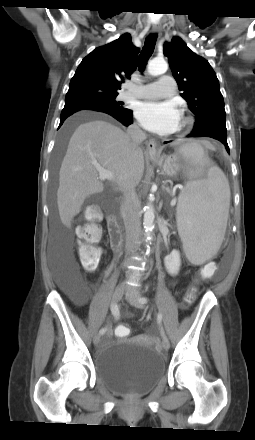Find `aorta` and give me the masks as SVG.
I'll return each mask as SVG.
<instances>
[{"mask_svg":"<svg viewBox=\"0 0 255 440\" xmlns=\"http://www.w3.org/2000/svg\"><path fill=\"white\" fill-rule=\"evenodd\" d=\"M168 69V64L164 59H153L148 64V73L153 76L164 74ZM154 207L151 203H148L145 212H144V219H143V227L145 231L146 236V242H151L152 240V233L154 230Z\"/></svg>","mask_w":255,"mask_h":440,"instance_id":"aorta-1","label":"aorta"}]
</instances>
